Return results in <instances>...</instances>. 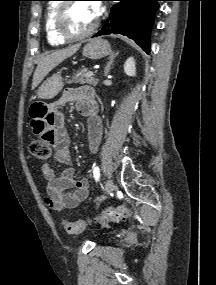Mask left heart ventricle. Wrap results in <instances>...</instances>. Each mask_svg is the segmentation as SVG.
I'll return each instance as SVG.
<instances>
[{
	"label": "left heart ventricle",
	"mask_w": 216,
	"mask_h": 285,
	"mask_svg": "<svg viewBox=\"0 0 216 285\" xmlns=\"http://www.w3.org/2000/svg\"><path fill=\"white\" fill-rule=\"evenodd\" d=\"M97 16L88 2L75 3L69 12L68 25L73 33L87 31L95 23Z\"/></svg>",
	"instance_id": "obj_1"
}]
</instances>
